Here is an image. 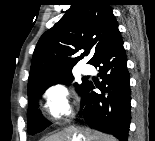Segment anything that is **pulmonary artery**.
<instances>
[{"mask_svg": "<svg viewBox=\"0 0 155 141\" xmlns=\"http://www.w3.org/2000/svg\"><path fill=\"white\" fill-rule=\"evenodd\" d=\"M81 72L85 75H89L93 73V67L90 65H83L81 67Z\"/></svg>", "mask_w": 155, "mask_h": 141, "instance_id": "1", "label": "pulmonary artery"}]
</instances>
